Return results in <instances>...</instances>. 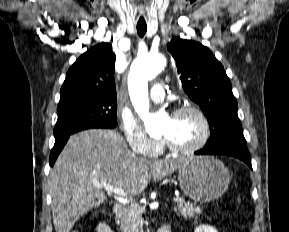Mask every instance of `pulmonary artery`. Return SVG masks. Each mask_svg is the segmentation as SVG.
<instances>
[{"instance_id": "pulmonary-artery-1", "label": "pulmonary artery", "mask_w": 289, "mask_h": 232, "mask_svg": "<svg viewBox=\"0 0 289 232\" xmlns=\"http://www.w3.org/2000/svg\"><path fill=\"white\" fill-rule=\"evenodd\" d=\"M165 97V91L161 84H155L152 86L150 90V99L153 102L159 103L164 100Z\"/></svg>"}]
</instances>
